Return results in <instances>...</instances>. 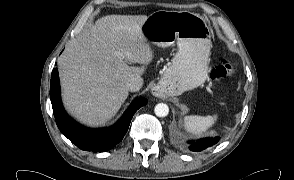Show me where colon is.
<instances>
[{
  "label": "colon",
  "instance_id": "obj_1",
  "mask_svg": "<svg viewBox=\"0 0 294 180\" xmlns=\"http://www.w3.org/2000/svg\"><path fill=\"white\" fill-rule=\"evenodd\" d=\"M234 71V62L231 59H223L211 70L210 78L212 82L220 81L233 75Z\"/></svg>",
  "mask_w": 294,
  "mask_h": 180
}]
</instances>
